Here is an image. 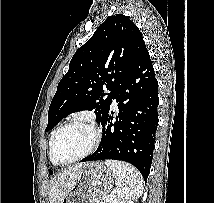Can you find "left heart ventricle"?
<instances>
[{
    "instance_id": "obj_1",
    "label": "left heart ventricle",
    "mask_w": 214,
    "mask_h": 203,
    "mask_svg": "<svg viewBox=\"0 0 214 203\" xmlns=\"http://www.w3.org/2000/svg\"><path fill=\"white\" fill-rule=\"evenodd\" d=\"M94 140L93 130L86 125H73L66 128L58 137L55 157L66 162L83 154Z\"/></svg>"
}]
</instances>
